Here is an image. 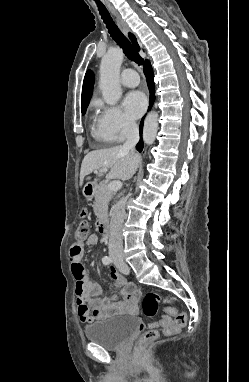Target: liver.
I'll list each match as a JSON object with an SVG mask.
<instances>
[{"label":"liver","instance_id":"liver-1","mask_svg":"<svg viewBox=\"0 0 249 382\" xmlns=\"http://www.w3.org/2000/svg\"><path fill=\"white\" fill-rule=\"evenodd\" d=\"M140 160L138 154H131L122 146L91 151L82 161L80 183L83 184L86 175L101 169L109 170L107 177L110 179L128 180L135 173L134 166H138Z\"/></svg>","mask_w":249,"mask_h":382}]
</instances>
